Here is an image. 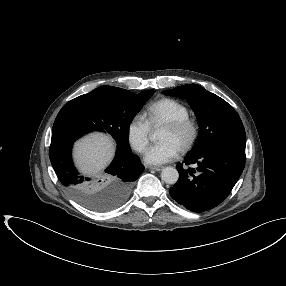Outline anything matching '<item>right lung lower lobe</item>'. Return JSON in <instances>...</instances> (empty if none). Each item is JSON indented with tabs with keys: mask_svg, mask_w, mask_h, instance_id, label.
Listing matches in <instances>:
<instances>
[{
	"mask_svg": "<svg viewBox=\"0 0 286 286\" xmlns=\"http://www.w3.org/2000/svg\"><path fill=\"white\" fill-rule=\"evenodd\" d=\"M78 138L72 131L54 123L49 157L59 181L66 190L78 201L97 190H100V194L111 198L121 187L125 188L129 196L132 183L144 171L139 158L131 153L129 147L117 146L115 158L101 178L96 180L84 178L74 167L71 157L72 145ZM105 203L110 202L105 201Z\"/></svg>",
	"mask_w": 286,
	"mask_h": 286,
	"instance_id": "obj_1",
	"label": "right lung lower lobe"
}]
</instances>
